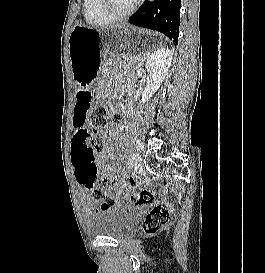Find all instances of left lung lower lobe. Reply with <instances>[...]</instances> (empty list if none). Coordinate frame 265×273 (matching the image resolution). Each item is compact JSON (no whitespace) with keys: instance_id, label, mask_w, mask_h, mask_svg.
<instances>
[{"instance_id":"left-lung-lower-lobe-1","label":"left lung lower lobe","mask_w":265,"mask_h":273,"mask_svg":"<svg viewBox=\"0 0 265 273\" xmlns=\"http://www.w3.org/2000/svg\"><path fill=\"white\" fill-rule=\"evenodd\" d=\"M181 0L145 2L129 19V23L159 31L178 43Z\"/></svg>"}]
</instances>
